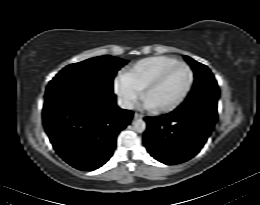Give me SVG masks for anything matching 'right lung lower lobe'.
Returning a JSON list of instances; mask_svg holds the SVG:
<instances>
[{"label":"right lung lower lobe","mask_w":260,"mask_h":205,"mask_svg":"<svg viewBox=\"0 0 260 205\" xmlns=\"http://www.w3.org/2000/svg\"><path fill=\"white\" fill-rule=\"evenodd\" d=\"M112 90L79 81L50 82L45 94L43 121L59 154L76 169L91 171L112 156L118 133L133 112L116 105Z\"/></svg>","instance_id":"right-lung-lower-lobe-1"}]
</instances>
